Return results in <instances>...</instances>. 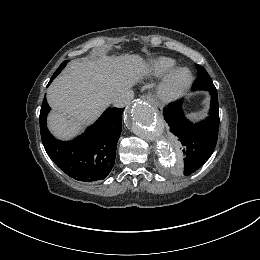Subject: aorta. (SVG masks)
I'll return each instance as SVG.
<instances>
[{
    "label": "aorta",
    "instance_id": "1",
    "mask_svg": "<svg viewBox=\"0 0 260 260\" xmlns=\"http://www.w3.org/2000/svg\"><path fill=\"white\" fill-rule=\"evenodd\" d=\"M128 127L141 139L154 143L161 161L179 162V141L165 134V125L153 108L140 100L135 101L126 114Z\"/></svg>",
    "mask_w": 260,
    "mask_h": 260
}]
</instances>
